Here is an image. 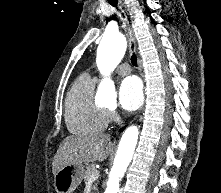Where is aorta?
<instances>
[{"label":"aorta","instance_id":"762f6f07","mask_svg":"<svg viewBox=\"0 0 221 193\" xmlns=\"http://www.w3.org/2000/svg\"><path fill=\"white\" fill-rule=\"evenodd\" d=\"M125 51L126 39L121 33L105 35L98 47L97 63L99 67L104 70L113 69L122 60ZM98 95L107 101L116 100L114 84L108 79L103 80L98 88ZM138 134L136 126L128 127L123 133L104 193L118 192L120 180L132 160Z\"/></svg>","mask_w":221,"mask_h":193}]
</instances>
